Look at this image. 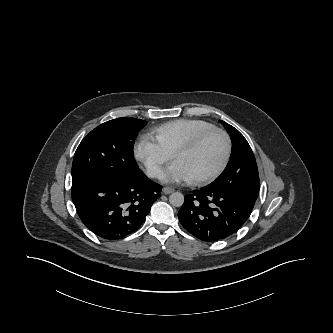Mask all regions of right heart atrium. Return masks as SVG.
I'll list each match as a JSON object with an SVG mask.
<instances>
[{
  "mask_svg": "<svg viewBox=\"0 0 333 333\" xmlns=\"http://www.w3.org/2000/svg\"><path fill=\"white\" fill-rule=\"evenodd\" d=\"M134 156L140 161L149 176L160 178L164 167L171 159V154L166 152L157 142L141 137L135 145Z\"/></svg>",
  "mask_w": 333,
  "mask_h": 333,
  "instance_id": "1",
  "label": "right heart atrium"
}]
</instances>
